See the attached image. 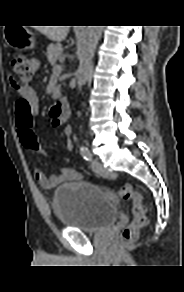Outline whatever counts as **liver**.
I'll return each instance as SVG.
<instances>
[{
    "label": "liver",
    "instance_id": "1",
    "mask_svg": "<svg viewBox=\"0 0 184 292\" xmlns=\"http://www.w3.org/2000/svg\"><path fill=\"white\" fill-rule=\"evenodd\" d=\"M69 28L70 26H38L37 30L44 34L49 40L61 42L66 38Z\"/></svg>",
    "mask_w": 184,
    "mask_h": 292
}]
</instances>
